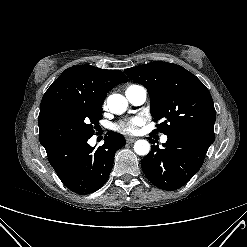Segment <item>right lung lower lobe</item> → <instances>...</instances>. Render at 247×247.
Returning a JSON list of instances; mask_svg holds the SVG:
<instances>
[{"label": "right lung lower lobe", "mask_w": 247, "mask_h": 247, "mask_svg": "<svg viewBox=\"0 0 247 247\" xmlns=\"http://www.w3.org/2000/svg\"><path fill=\"white\" fill-rule=\"evenodd\" d=\"M91 136L70 138L45 148L58 177L78 194H90L105 184L116 151L126 144L122 134L108 132L104 145L95 149L87 143Z\"/></svg>", "instance_id": "obj_1"}]
</instances>
